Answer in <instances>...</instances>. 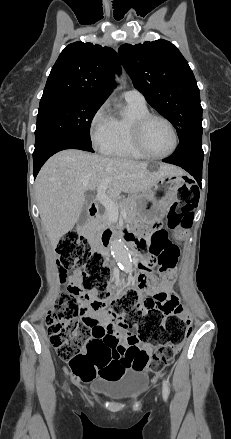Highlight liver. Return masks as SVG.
<instances>
[{
    "label": "liver",
    "instance_id": "1",
    "mask_svg": "<svg viewBox=\"0 0 231 439\" xmlns=\"http://www.w3.org/2000/svg\"><path fill=\"white\" fill-rule=\"evenodd\" d=\"M183 174L173 165L160 163L156 171L148 164L126 158H108L69 149L52 156L40 170L35 191L42 224L51 246L77 223L84 206V192L99 188L107 179V195L148 191L161 178Z\"/></svg>",
    "mask_w": 231,
    "mask_h": 439
}]
</instances>
